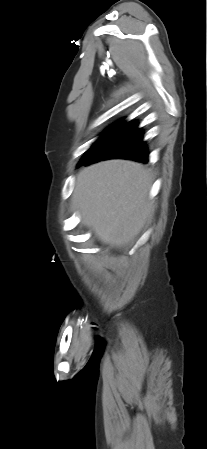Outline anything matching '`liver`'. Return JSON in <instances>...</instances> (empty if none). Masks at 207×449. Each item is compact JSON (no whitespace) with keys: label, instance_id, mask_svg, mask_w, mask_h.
<instances>
[{"label":"liver","instance_id":"obj_1","mask_svg":"<svg viewBox=\"0 0 207 449\" xmlns=\"http://www.w3.org/2000/svg\"><path fill=\"white\" fill-rule=\"evenodd\" d=\"M150 172L140 163L108 160L83 168L72 195L84 225L112 247H123L142 231L153 211Z\"/></svg>","mask_w":207,"mask_h":449}]
</instances>
